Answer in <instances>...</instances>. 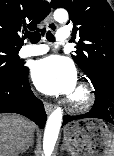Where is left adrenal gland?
Returning <instances> with one entry per match:
<instances>
[{"label":"left adrenal gland","mask_w":114,"mask_h":156,"mask_svg":"<svg viewBox=\"0 0 114 156\" xmlns=\"http://www.w3.org/2000/svg\"><path fill=\"white\" fill-rule=\"evenodd\" d=\"M65 149H66V147H65V144L63 143V144L61 145L60 150H61V151H64Z\"/></svg>","instance_id":"obj_1"}]
</instances>
